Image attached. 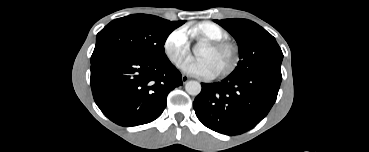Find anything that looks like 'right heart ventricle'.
I'll return each mask as SVG.
<instances>
[{
  "label": "right heart ventricle",
  "mask_w": 369,
  "mask_h": 152,
  "mask_svg": "<svg viewBox=\"0 0 369 152\" xmlns=\"http://www.w3.org/2000/svg\"><path fill=\"white\" fill-rule=\"evenodd\" d=\"M185 30L188 36L201 44L212 40L228 39V33L221 26L211 21L196 23Z\"/></svg>",
  "instance_id": "right-heart-ventricle-1"
}]
</instances>
